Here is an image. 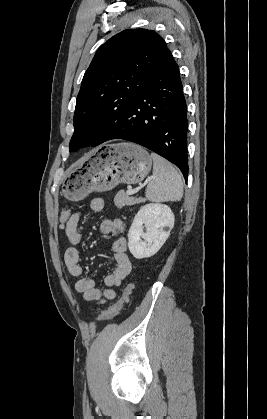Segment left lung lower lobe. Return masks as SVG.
<instances>
[{
	"mask_svg": "<svg viewBox=\"0 0 267 419\" xmlns=\"http://www.w3.org/2000/svg\"><path fill=\"white\" fill-rule=\"evenodd\" d=\"M187 131L179 67L169 51L125 115L104 124L93 147L111 139L140 144L178 166L187 180Z\"/></svg>",
	"mask_w": 267,
	"mask_h": 419,
	"instance_id": "1",
	"label": "left lung lower lobe"
}]
</instances>
